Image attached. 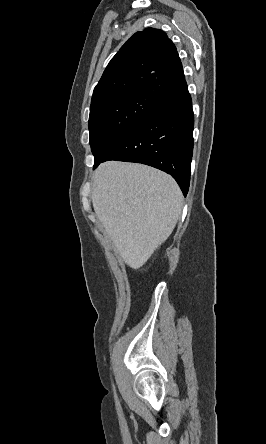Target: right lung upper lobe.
<instances>
[{"label": "right lung upper lobe", "mask_w": 266, "mask_h": 444, "mask_svg": "<svg viewBox=\"0 0 266 444\" xmlns=\"http://www.w3.org/2000/svg\"><path fill=\"white\" fill-rule=\"evenodd\" d=\"M186 89L175 45L162 30L146 28L132 35L109 62L90 108L129 92H146L165 101Z\"/></svg>", "instance_id": "1"}]
</instances>
